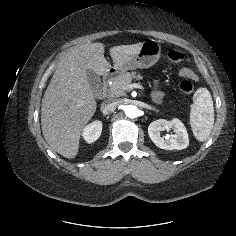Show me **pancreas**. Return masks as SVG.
Wrapping results in <instances>:
<instances>
[{
    "mask_svg": "<svg viewBox=\"0 0 236 236\" xmlns=\"http://www.w3.org/2000/svg\"><path fill=\"white\" fill-rule=\"evenodd\" d=\"M136 78L138 80H142L143 77L138 74L137 72H126V73H121L118 76H116L112 82V84L109 86L108 93L110 96H124L126 95L125 87L129 85L132 80Z\"/></svg>",
    "mask_w": 236,
    "mask_h": 236,
    "instance_id": "1",
    "label": "pancreas"
}]
</instances>
